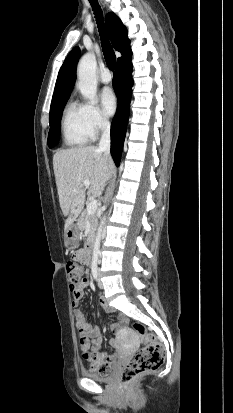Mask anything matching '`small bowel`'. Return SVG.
I'll list each match as a JSON object with an SVG mask.
<instances>
[{
    "instance_id": "small-bowel-1",
    "label": "small bowel",
    "mask_w": 233,
    "mask_h": 413,
    "mask_svg": "<svg viewBox=\"0 0 233 413\" xmlns=\"http://www.w3.org/2000/svg\"><path fill=\"white\" fill-rule=\"evenodd\" d=\"M76 265H79L81 261H85V250L83 247H76L72 256ZM88 279H84L83 282L73 290L72 305L74 309V316L76 319V328L80 337V348L84 355L94 366H96L95 358L99 356V351L102 343V333L99 326H93L86 321L83 309L80 307V301L84 294V289L88 286ZM100 303L105 311L112 312V308L106 303L104 298H100ZM125 323L126 319H122ZM117 325H113V328H117ZM115 359V355L106 357V362L110 363Z\"/></svg>"
}]
</instances>
